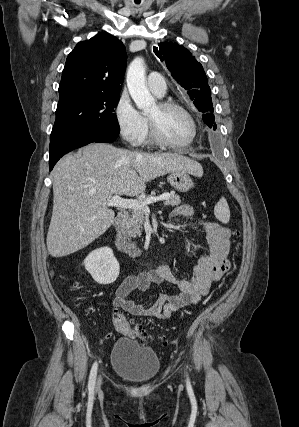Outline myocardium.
I'll use <instances>...</instances> for the list:
<instances>
[{
  "mask_svg": "<svg viewBox=\"0 0 299 427\" xmlns=\"http://www.w3.org/2000/svg\"><path fill=\"white\" fill-rule=\"evenodd\" d=\"M157 105L162 110L177 109V110L181 111L189 119V121L191 123L192 131H191V136H190L189 140H187L184 143H175V142L167 140L161 134L157 123L153 119H151L150 117H147L149 129H150V135H151L152 140L160 146H163L166 148H172V149H181V148H185V147L191 145L195 141V139L197 137V133H198L197 122H196L194 116L192 115V113L182 104L175 102V101H172V100H163V101L158 102Z\"/></svg>",
  "mask_w": 299,
  "mask_h": 427,
  "instance_id": "obj_1",
  "label": "myocardium"
}]
</instances>
